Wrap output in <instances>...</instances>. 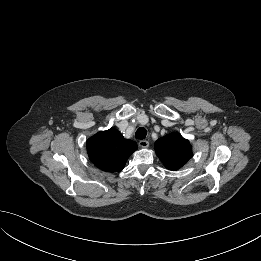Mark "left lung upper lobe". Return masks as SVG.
Wrapping results in <instances>:
<instances>
[{
    "label": "left lung upper lobe",
    "mask_w": 261,
    "mask_h": 261,
    "mask_svg": "<svg viewBox=\"0 0 261 261\" xmlns=\"http://www.w3.org/2000/svg\"><path fill=\"white\" fill-rule=\"evenodd\" d=\"M155 151L169 170H178L192 157V147L179 133H170L155 142Z\"/></svg>",
    "instance_id": "1"
}]
</instances>
